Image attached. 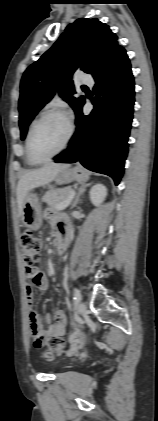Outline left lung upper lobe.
Returning a JSON list of instances; mask_svg holds the SVG:
<instances>
[{
  "label": "left lung upper lobe",
  "instance_id": "obj_1",
  "mask_svg": "<svg viewBox=\"0 0 158 421\" xmlns=\"http://www.w3.org/2000/svg\"><path fill=\"white\" fill-rule=\"evenodd\" d=\"M119 47L117 36L97 18H80L69 24L55 44L23 74L19 99L21 139L57 89L77 113L85 100L73 96L76 93L71 80L73 73L80 68L95 75Z\"/></svg>",
  "mask_w": 158,
  "mask_h": 421
}]
</instances>
